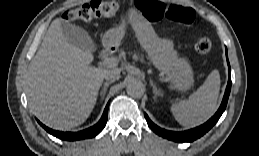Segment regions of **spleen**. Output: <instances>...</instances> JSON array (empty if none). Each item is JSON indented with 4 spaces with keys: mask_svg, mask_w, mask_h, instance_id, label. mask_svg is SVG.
<instances>
[{
    "mask_svg": "<svg viewBox=\"0 0 259 156\" xmlns=\"http://www.w3.org/2000/svg\"><path fill=\"white\" fill-rule=\"evenodd\" d=\"M220 90V75L213 70L203 85L190 95L171 107L175 119L183 126L192 127L208 120L216 111Z\"/></svg>",
    "mask_w": 259,
    "mask_h": 156,
    "instance_id": "spleen-1",
    "label": "spleen"
}]
</instances>
